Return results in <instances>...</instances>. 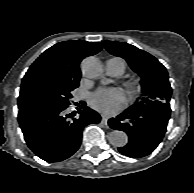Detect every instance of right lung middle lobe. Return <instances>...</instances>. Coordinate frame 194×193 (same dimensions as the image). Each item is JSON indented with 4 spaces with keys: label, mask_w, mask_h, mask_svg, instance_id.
<instances>
[{
    "label": "right lung middle lobe",
    "mask_w": 194,
    "mask_h": 193,
    "mask_svg": "<svg viewBox=\"0 0 194 193\" xmlns=\"http://www.w3.org/2000/svg\"><path fill=\"white\" fill-rule=\"evenodd\" d=\"M79 82L57 77H42L33 82L29 94L18 98L19 109L35 107H63L70 105L71 92Z\"/></svg>",
    "instance_id": "dd1d6c3e"
}]
</instances>
